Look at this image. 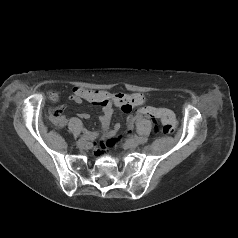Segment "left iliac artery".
Wrapping results in <instances>:
<instances>
[{"label":"left iliac artery","instance_id":"left-iliac-artery-1","mask_svg":"<svg viewBox=\"0 0 238 238\" xmlns=\"http://www.w3.org/2000/svg\"><path fill=\"white\" fill-rule=\"evenodd\" d=\"M133 137H134L136 140H138L139 142H143V138L138 137V136H136V135H134Z\"/></svg>","mask_w":238,"mask_h":238}]
</instances>
